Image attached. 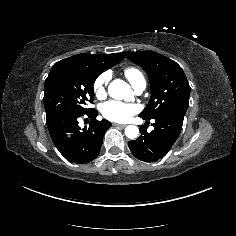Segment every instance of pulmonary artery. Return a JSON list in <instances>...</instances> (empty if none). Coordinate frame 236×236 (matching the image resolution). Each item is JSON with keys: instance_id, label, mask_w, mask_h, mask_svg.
<instances>
[{"instance_id": "pulmonary-artery-1", "label": "pulmonary artery", "mask_w": 236, "mask_h": 236, "mask_svg": "<svg viewBox=\"0 0 236 236\" xmlns=\"http://www.w3.org/2000/svg\"><path fill=\"white\" fill-rule=\"evenodd\" d=\"M136 94H141L146 89V81L144 79L139 80L133 84Z\"/></svg>"}]
</instances>
